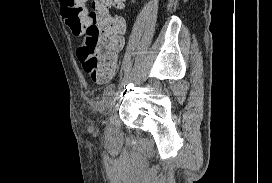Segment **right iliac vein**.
<instances>
[{"instance_id": "1", "label": "right iliac vein", "mask_w": 272, "mask_h": 183, "mask_svg": "<svg viewBox=\"0 0 272 183\" xmlns=\"http://www.w3.org/2000/svg\"><path fill=\"white\" fill-rule=\"evenodd\" d=\"M113 92L110 95H106L102 98L101 103H100V107L101 110L104 111L105 109H107L113 101Z\"/></svg>"}]
</instances>
